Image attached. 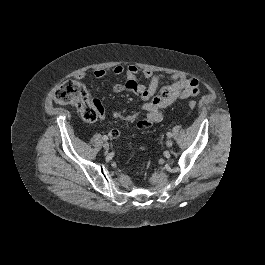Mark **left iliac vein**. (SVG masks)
Wrapping results in <instances>:
<instances>
[{
  "label": "left iliac vein",
  "mask_w": 265,
  "mask_h": 265,
  "mask_svg": "<svg viewBox=\"0 0 265 265\" xmlns=\"http://www.w3.org/2000/svg\"><path fill=\"white\" fill-rule=\"evenodd\" d=\"M172 145H173V141H172L171 139H168V140L166 141V146H167L168 148H170V147H172Z\"/></svg>",
  "instance_id": "obj_1"
}]
</instances>
